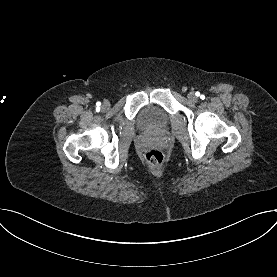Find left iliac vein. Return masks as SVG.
<instances>
[{
	"mask_svg": "<svg viewBox=\"0 0 277 277\" xmlns=\"http://www.w3.org/2000/svg\"><path fill=\"white\" fill-rule=\"evenodd\" d=\"M188 99L191 101V102H196L197 101V97L196 95L193 93V92H190L188 94Z\"/></svg>",
	"mask_w": 277,
	"mask_h": 277,
	"instance_id": "obj_1",
	"label": "left iliac vein"
}]
</instances>
